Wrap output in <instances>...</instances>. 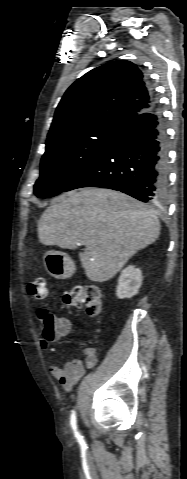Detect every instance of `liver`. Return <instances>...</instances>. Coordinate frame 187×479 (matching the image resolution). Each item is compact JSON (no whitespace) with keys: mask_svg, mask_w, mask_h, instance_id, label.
Instances as JSON below:
<instances>
[{"mask_svg":"<svg viewBox=\"0 0 187 479\" xmlns=\"http://www.w3.org/2000/svg\"><path fill=\"white\" fill-rule=\"evenodd\" d=\"M160 222L154 210L121 192L83 188L52 201L38 224L39 241L46 246L75 249L86 276L104 282L134 256L154 243Z\"/></svg>","mask_w":187,"mask_h":479,"instance_id":"obj_1","label":"liver"}]
</instances>
